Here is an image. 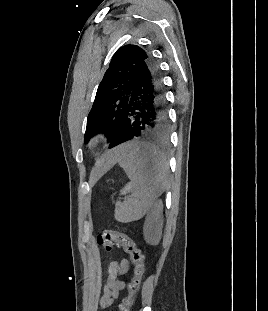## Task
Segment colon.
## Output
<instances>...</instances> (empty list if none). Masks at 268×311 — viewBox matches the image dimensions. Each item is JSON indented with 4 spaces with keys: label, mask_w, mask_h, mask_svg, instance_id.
Returning <instances> with one entry per match:
<instances>
[{
    "label": "colon",
    "mask_w": 268,
    "mask_h": 311,
    "mask_svg": "<svg viewBox=\"0 0 268 311\" xmlns=\"http://www.w3.org/2000/svg\"><path fill=\"white\" fill-rule=\"evenodd\" d=\"M97 243L104 250L110 251L114 246L122 248L133 264V277L128 284V293L119 305V311H130L135 295L139 291L144 274V256L137 244L123 232L103 230L97 237Z\"/></svg>",
    "instance_id": "1"
}]
</instances>
